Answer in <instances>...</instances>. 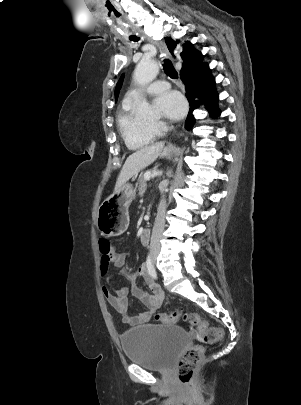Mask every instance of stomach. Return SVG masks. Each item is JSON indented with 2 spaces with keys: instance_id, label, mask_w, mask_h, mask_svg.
<instances>
[{
  "instance_id": "stomach-1",
  "label": "stomach",
  "mask_w": 301,
  "mask_h": 405,
  "mask_svg": "<svg viewBox=\"0 0 301 405\" xmlns=\"http://www.w3.org/2000/svg\"><path fill=\"white\" fill-rule=\"evenodd\" d=\"M134 198L135 188L131 183H125L100 205L96 223L103 235L118 236L127 230L128 208Z\"/></svg>"
}]
</instances>
